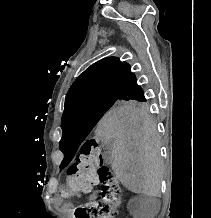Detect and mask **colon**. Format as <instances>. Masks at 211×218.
<instances>
[{
    "label": "colon",
    "mask_w": 211,
    "mask_h": 218,
    "mask_svg": "<svg viewBox=\"0 0 211 218\" xmlns=\"http://www.w3.org/2000/svg\"><path fill=\"white\" fill-rule=\"evenodd\" d=\"M99 183L102 184L99 197L76 207L74 218H111L122 202L118 180L104 162L97 140L89 138L83 142L75 161L67 170L66 196L89 193Z\"/></svg>",
    "instance_id": "colon-1"
}]
</instances>
